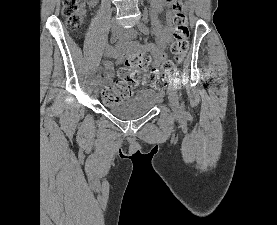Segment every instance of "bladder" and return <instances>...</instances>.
Returning a JSON list of instances; mask_svg holds the SVG:
<instances>
[{
    "label": "bladder",
    "instance_id": "obj_1",
    "mask_svg": "<svg viewBox=\"0 0 277 225\" xmlns=\"http://www.w3.org/2000/svg\"><path fill=\"white\" fill-rule=\"evenodd\" d=\"M158 102V95L143 89L121 102L107 104V109L116 117L126 120L137 119L150 112Z\"/></svg>",
    "mask_w": 277,
    "mask_h": 225
}]
</instances>
